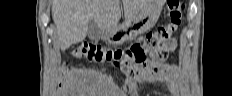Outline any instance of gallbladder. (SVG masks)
Listing matches in <instances>:
<instances>
[{
    "label": "gallbladder",
    "instance_id": "obj_1",
    "mask_svg": "<svg viewBox=\"0 0 232 96\" xmlns=\"http://www.w3.org/2000/svg\"><path fill=\"white\" fill-rule=\"evenodd\" d=\"M87 36L94 41H97L102 37V30L93 19H90L88 22Z\"/></svg>",
    "mask_w": 232,
    "mask_h": 96
}]
</instances>
